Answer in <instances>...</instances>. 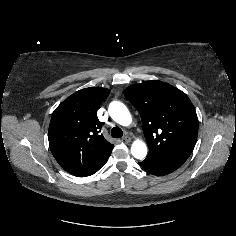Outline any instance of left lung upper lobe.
Wrapping results in <instances>:
<instances>
[{"label":"left lung upper lobe","mask_w":236,"mask_h":236,"mask_svg":"<svg viewBox=\"0 0 236 236\" xmlns=\"http://www.w3.org/2000/svg\"><path fill=\"white\" fill-rule=\"evenodd\" d=\"M124 95L140 113L149 146L146 158L183 164L198 135L197 114L188 96L158 80L132 85Z\"/></svg>","instance_id":"1"}]
</instances>
